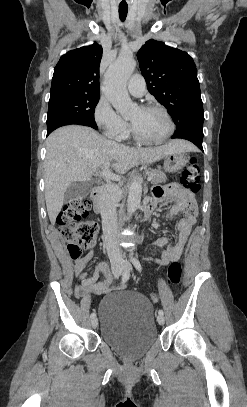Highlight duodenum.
Here are the masks:
<instances>
[{"mask_svg":"<svg viewBox=\"0 0 247 407\" xmlns=\"http://www.w3.org/2000/svg\"><path fill=\"white\" fill-rule=\"evenodd\" d=\"M102 188H103V182L98 181L95 184V186L93 187L91 195H90L92 205H93V210L96 214H98L100 216H103L105 213V206H104V203L101 198ZM152 207L153 206L151 204H148L145 207L144 214H143L144 219H146L149 216Z\"/></svg>","mask_w":247,"mask_h":407,"instance_id":"duodenum-1","label":"duodenum"}]
</instances>
